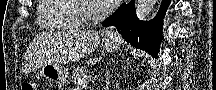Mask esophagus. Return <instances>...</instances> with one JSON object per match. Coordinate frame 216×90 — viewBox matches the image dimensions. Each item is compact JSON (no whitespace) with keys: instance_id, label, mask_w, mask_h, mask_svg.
I'll return each mask as SVG.
<instances>
[{"instance_id":"1","label":"esophagus","mask_w":216,"mask_h":90,"mask_svg":"<svg viewBox=\"0 0 216 90\" xmlns=\"http://www.w3.org/2000/svg\"><path fill=\"white\" fill-rule=\"evenodd\" d=\"M112 37H113L112 34H108V35H107V38H108V39H110V38H112Z\"/></svg>"}]
</instances>
